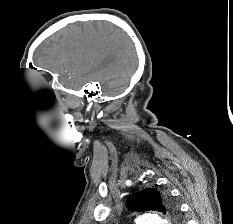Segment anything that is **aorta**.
I'll return each instance as SVG.
<instances>
[{
    "mask_svg": "<svg viewBox=\"0 0 233 224\" xmlns=\"http://www.w3.org/2000/svg\"><path fill=\"white\" fill-rule=\"evenodd\" d=\"M137 224H167L165 219H162L155 214H144L136 221Z\"/></svg>",
    "mask_w": 233,
    "mask_h": 224,
    "instance_id": "aorta-1",
    "label": "aorta"
}]
</instances>
